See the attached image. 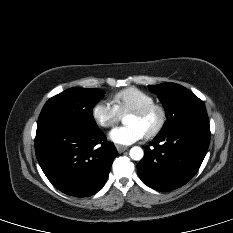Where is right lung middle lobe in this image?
Returning <instances> with one entry per match:
<instances>
[{
  "label": "right lung middle lobe",
  "instance_id": "obj_1",
  "mask_svg": "<svg viewBox=\"0 0 233 233\" xmlns=\"http://www.w3.org/2000/svg\"><path fill=\"white\" fill-rule=\"evenodd\" d=\"M104 92L94 88H70L50 98L44 105L38 124L63 120L73 124L96 127L92 111Z\"/></svg>",
  "mask_w": 233,
  "mask_h": 233
}]
</instances>
